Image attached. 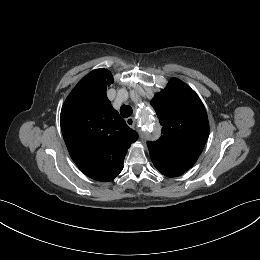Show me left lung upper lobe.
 <instances>
[{"instance_id": "5c2ea615", "label": "left lung upper lobe", "mask_w": 260, "mask_h": 260, "mask_svg": "<svg viewBox=\"0 0 260 260\" xmlns=\"http://www.w3.org/2000/svg\"><path fill=\"white\" fill-rule=\"evenodd\" d=\"M162 136L148 142L154 166L167 177L189 170L201 154L209 134L208 117L198 95L184 82L173 78L151 101Z\"/></svg>"}]
</instances>
